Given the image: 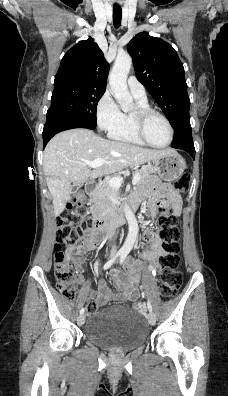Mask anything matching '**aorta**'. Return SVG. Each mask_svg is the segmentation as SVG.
Segmentation results:
<instances>
[{
	"label": "aorta",
	"mask_w": 228,
	"mask_h": 396,
	"mask_svg": "<svg viewBox=\"0 0 228 396\" xmlns=\"http://www.w3.org/2000/svg\"><path fill=\"white\" fill-rule=\"evenodd\" d=\"M131 66V57L128 54H120L117 56L109 75V85L112 95L123 111H129L133 106V99L127 87V75ZM124 214L129 230L122 250L129 252L136 242L139 227L134 213L127 204L124 205Z\"/></svg>",
	"instance_id": "aorta-1"
}]
</instances>
